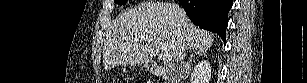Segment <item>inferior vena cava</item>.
<instances>
[{
    "instance_id": "1",
    "label": "inferior vena cava",
    "mask_w": 307,
    "mask_h": 83,
    "mask_svg": "<svg viewBox=\"0 0 307 83\" xmlns=\"http://www.w3.org/2000/svg\"><path fill=\"white\" fill-rule=\"evenodd\" d=\"M188 51V46L187 45H184L181 49V56H180V59L183 60L184 57L186 56V53Z\"/></svg>"
}]
</instances>
